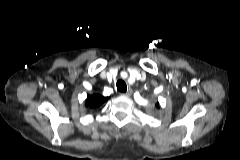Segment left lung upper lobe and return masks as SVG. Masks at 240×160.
I'll return each mask as SVG.
<instances>
[{"label":"left lung upper lobe","mask_w":240,"mask_h":160,"mask_svg":"<svg viewBox=\"0 0 240 160\" xmlns=\"http://www.w3.org/2000/svg\"><path fill=\"white\" fill-rule=\"evenodd\" d=\"M156 107H159V104H158V103L156 104Z\"/></svg>","instance_id":"obj_1"}]
</instances>
